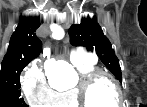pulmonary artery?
I'll return each instance as SVG.
<instances>
[{"instance_id":"obj_1","label":"pulmonary artery","mask_w":147,"mask_h":107,"mask_svg":"<svg viewBox=\"0 0 147 107\" xmlns=\"http://www.w3.org/2000/svg\"><path fill=\"white\" fill-rule=\"evenodd\" d=\"M95 60H96L95 57H93L91 54L85 53L84 51L80 49L72 50L70 55V61L73 64L83 63V62H92Z\"/></svg>"}]
</instances>
